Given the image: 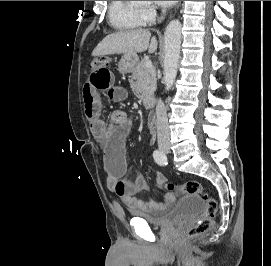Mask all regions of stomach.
I'll use <instances>...</instances> for the list:
<instances>
[{
    "label": "stomach",
    "instance_id": "stomach-1",
    "mask_svg": "<svg viewBox=\"0 0 271 266\" xmlns=\"http://www.w3.org/2000/svg\"><path fill=\"white\" fill-rule=\"evenodd\" d=\"M139 62L137 54H124L118 64L120 73L125 74L132 71Z\"/></svg>",
    "mask_w": 271,
    "mask_h": 266
}]
</instances>
